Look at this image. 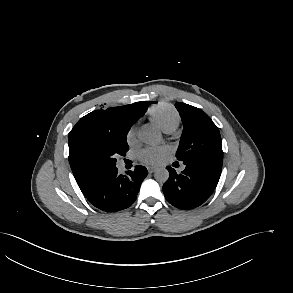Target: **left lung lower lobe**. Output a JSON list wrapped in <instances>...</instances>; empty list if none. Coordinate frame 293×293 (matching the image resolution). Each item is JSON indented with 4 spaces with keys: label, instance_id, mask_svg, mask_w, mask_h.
Listing matches in <instances>:
<instances>
[{
    "label": "left lung lower lobe",
    "instance_id": "left-lung-lower-lobe-1",
    "mask_svg": "<svg viewBox=\"0 0 293 293\" xmlns=\"http://www.w3.org/2000/svg\"><path fill=\"white\" fill-rule=\"evenodd\" d=\"M186 167L180 174L171 167L169 179L163 185L167 201L173 206L189 210L203 204L216 188L222 165L205 160L183 162Z\"/></svg>",
    "mask_w": 293,
    "mask_h": 293
}]
</instances>
